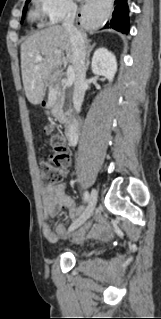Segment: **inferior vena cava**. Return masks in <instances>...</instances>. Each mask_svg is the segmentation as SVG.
<instances>
[{
  "label": "inferior vena cava",
  "mask_w": 161,
  "mask_h": 319,
  "mask_svg": "<svg viewBox=\"0 0 161 319\" xmlns=\"http://www.w3.org/2000/svg\"><path fill=\"white\" fill-rule=\"evenodd\" d=\"M77 11V6L71 4L68 7L67 15L63 22V27L69 33L70 41L73 50V65L76 72L73 106L76 112H80L85 96V79H86V45L81 33L74 26V19Z\"/></svg>",
  "instance_id": "inferior-vena-cava-1"
}]
</instances>
